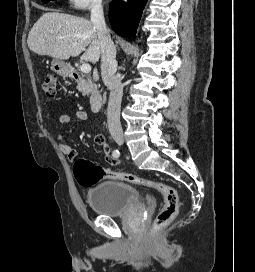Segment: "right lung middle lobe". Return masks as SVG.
Returning a JSON list of instances; mask_svg holds the SVG:
<instances>
[{
  "instance_id": "dd1d6c3e",
  "label": "right lung middle lobe",
  "mask_w": 255,
  "mask_h": 272,
  "mask_svg": "<svg viewBox=\"0 0 255 272\" xmlns=\"http://www.w3.org/2000/svg\"><path fill=\"white\" fill-rule=\"evenodd\" d=\"M44 3H47V2H49L50 0H42Z\"/></svg>"
}]
</instances>
